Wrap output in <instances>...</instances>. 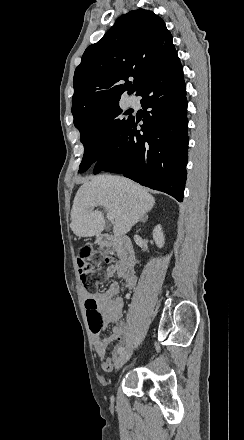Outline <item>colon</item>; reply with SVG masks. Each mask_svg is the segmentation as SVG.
Listing matches in <instances>:
<instances>
[{
    "instance_id": "5ec220e1",
    "label": "colon",
    "mask_w": 244,
    "mask_h": 440,
    "mask_svg": "<svg viewBox=\"0 0 244 440\" xmlns=\"http://www.w3.org/2000/svg\"><path fill=\"white\" fill-rule=\"evenodd\" d=\"M105 253L109 255L111 252L107 250ZM103 259L104 257L99 247L86 246L74 255L75 262H78L81 281L86 294H95L96 288L104 282V275L101 270ZM89 260H91V265L94 267L93 271H88L87 262ZM85 305L88 307V310L85 311L86 319L102 318V311L95 310L96 300L94 298H87Z\"/></svg>"
}]
</instances>
